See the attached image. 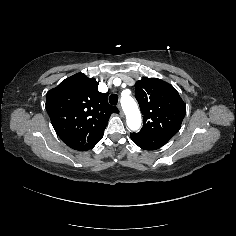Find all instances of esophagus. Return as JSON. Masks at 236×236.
<instances>
[{
	"instance_id": "esophagus-1",
	"label": "esophagus",
	"mask_w": 236,
	"mask_h": 236,
	"mask_svg": "<svg viewBox=\"0 0 236 236\" xmlns=\"http://www.w3.org/2000/svg\"><path fill=\"white\" fill-rule=\"evenodd\" d=\"M118 109H119V113H120V115H121V116H124V112H123L121 106H118Z\"/></svg>"
}]
</instances>
